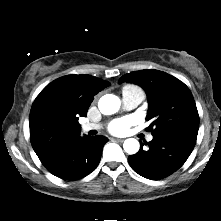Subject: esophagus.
<instances>
[{
  "mask_svg": "<svg viewBox=\"0 0 221 221\" xmlns=\"http://www.w3.org/2000/svg\"><path fill=\"white\" fill-rule=\"evenodd\" d=\"M113 140L118 141V142H123L124 141V139H122V138H114Z\"/></svg>",
  "mask_w": 221,
  "mask_h": 221,
  "instance_id": "1",
  "label": "esophagus"
}]
</instances>
